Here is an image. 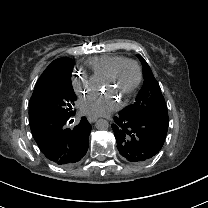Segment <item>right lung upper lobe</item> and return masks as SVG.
Returning a JSON list of instances; mask_svg holds the SVG:
<instances>
[{"label": "right lung upper lobe", "instance_id": "cb5924a9", "mask_svg": "<svg viewBox=\"0 0 208 208\" xmlns=\"http://www.w3.org/2000/svg\"><path fill=\"white\" fill-rule=\"evenodd\" d=\"M62 60V58H58L56 60H54L46 69L45 71L42 73V75L40 76V78L38 79L36 84H39L40 81H42L45 78V75L47 74V72L58 62H60Z\"/></svg>", "mask_w": 208, "mask_h": 208}]
</instances>
